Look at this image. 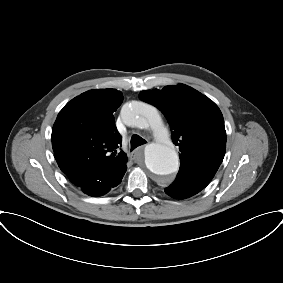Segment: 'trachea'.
<instances>
[{"instance_id": "1", "label": "trachea", "mask_w": 283, "mask_h": 283, "mask_svg": "<svg viewBox=\"0 0 283 283\" xmlns=\"http://www.w3.org/2000/svg\"><path fill=\"white\" fill-rule=\"evenodd\" d=\"M147 143V141L145 139H143L142 137H140L139 135H133L131 137V151H133L135 148H137L140 145H143Z\"/></svg>"}]
</instances>
